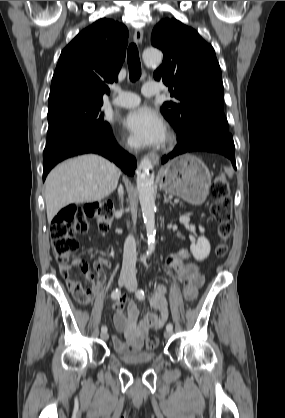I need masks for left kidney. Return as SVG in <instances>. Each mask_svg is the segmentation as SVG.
Listing matches in <instances>:
<instances>
[{"mask_svg":"<svg viewBox=\"0 0 285 418\" xmlns=\"http://www.w3.org/2000/svg\"><path fill=\"white\" fill-rule=\"evenodd\" d=\"M201 233H204L205 229L202 226H199ZM211 246L209 241L205 238L204 235L198 238L195 242H192L190 246V251L193 254L196 260H204L210 254Z\"/></svg>","mask_w":285,"mask_h":418,"instance_id":"5707ae66","label":"left kidney"}]
</instances>
